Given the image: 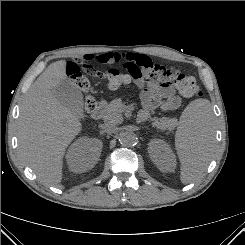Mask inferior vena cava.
Masks as SVG:
<instances>
[{
  "label": "inferior vena cava",
  "instance_id": "602c4592",
  "mask_svg": "<svg viewBox=\"0 0 245 245\" xmlns=\"http://www.w3.org/2000/svg\"><path fill=\"white\" fill-rule=\"evenodd\" d=\"M104 128L111 133H117L118 132V128L116 126L113 125H106L104 126Z\"/></svg>",
  "mask_w": 245,
  "mask_h": 245
}]
</instances>
